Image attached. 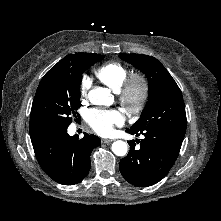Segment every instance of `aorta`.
Returning <instances> with one entry per match:
<instances>
[{
  "label": "aorta",
  "mask_w": 221,
  "mask_h": 221,
  "mask_svg": "<svg viewBox=\"0 0 221 221\" xmlns=\"http://www.w3.org/2000/svg\"><path fill=\"white\" fill-rule=\"evenodd\" d=\"M89 100L96 105H106L111 102V94L109 89L97 87L89 92ZM111 149L117 156H125L128 152L126 142L117 140L113 142Z\"/></svg>",
  "instance_id": "obj_1"
}]
</instances>
